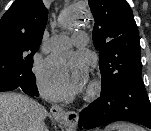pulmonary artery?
Listing matches in <instances>:
<instances>
[{
    "label": "pulmonary artery",
    "instance_id": "obj_1",
    "mask_svg": "<svg viewBox=\"0 0 151 131\" xmlns=\"http://www.w3.org/2000/svg\"><path fill=\"white\" fill-rule=\"evenodd\" d=\"M87 35L84 32H77L75 33L71 39L59 36L54 39H52L47 45L46 50H56V49H62L67 47L70 44H73L77 47H83L87 43Z\"/></svg>",
    "mask_w": 151,
    "mask_h": 131
}]
</instances>
